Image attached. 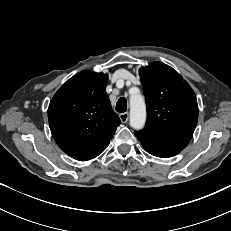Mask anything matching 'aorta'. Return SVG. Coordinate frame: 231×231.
Listing matches in <instances>:
<instances>
[{
  "instance_id": "aorta-1",
  "label": "aorta",
  "mask_w": 231,
  "mask_h": 231,
  "mask_svg": "<svg viewBox=\"0 0 231 231\" xmlns=\"http://www.w3.org/2000/svg\"><path fill=\"white\" fill-rule=\"evenodd\" d=\"M146 122V106L143 96L137 92L130 96V125L136 130L144 127Z\"/></svg>"
}]
</instances>
